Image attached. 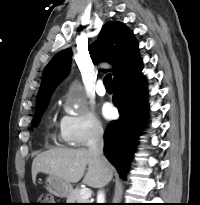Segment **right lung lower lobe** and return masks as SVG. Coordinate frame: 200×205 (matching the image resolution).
Wrapping results in <instances>:
<instances>
[{
    "label": "right lung lower lobe",
    "mask_w": 200,
    "mask_h": 205,
    "mask_svg": "<svg viewBox=\"0 0 200 205\" xmlns=\"http://www.w3.org/2000/svg\"><path fill=\"white\" fill-rule=\"evenodd\" d=\"M141 61L113 81V102L120 117L112 121L104 134V153L125 179L129 161L145 119L146 84Z\"/></svg>",
    "instance_id": "obj_1"
}]
</instances>
